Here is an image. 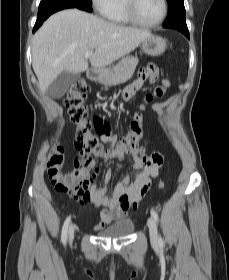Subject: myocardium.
<instances>
[{
  "label": "myocardium",
  "mask_w": 229,
  "mask_h": 280,
  "mask_svg": "<svg viewBox=\"0 0 229 280\" xmlns=\"http://www.w3.org/2000/svg\"><path fill=\"white\" fill-rule=\"evenodd\" d=\"M134 2H135V0H124L125 11L127 13L129 20L133 24L142 26V27H155L164 21L166 15H167V12H168L167 0H161L162 13H161L160 17L153 22H145L138 18V16L136 15V12H135V8H134Z\"/></svg>",
  "instance_id": "obj_1"
}]
</instances>
